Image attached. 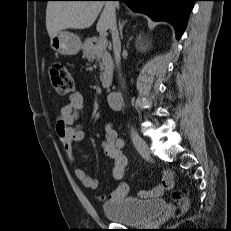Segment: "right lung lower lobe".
<instances>
[{"mask_svg":"<svg viewBox=\"0 0 231 231\" xmlns=\"http://www.w3.org/2000/svg\"><path fill=\"white\" fill-rule=\"evenodd\" d=\"M102 1V0H97ZM123 1L135 12L147 14L154 20L171 23L179 39L187 24L189 13L196 0H118Z\"/></svg>","mask_w":231,"mask_h":231,"instance_id":"98d812e1","label":"right lung lower lobe"}]
</instances>
